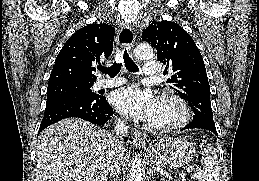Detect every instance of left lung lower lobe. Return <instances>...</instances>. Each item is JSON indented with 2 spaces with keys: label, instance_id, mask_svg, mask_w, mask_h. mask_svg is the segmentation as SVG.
<instances>
[{
  "label": "left lung lower lobe",
  "instance_id": "left-lung-lower-lobe-1",
  "mask_svg": "<svg viewBox=\"0 0 259 181\" xmlns=\"http://www.w3.org/2000/svg\"><path fill=\"white\" fill-rule=\"evenodd\" d=\"M191 128L206 129V130H209V131H211V132H213L214 134L217 135V131H216V127L215 126H212V125H209V124H205V123H199V122L189 123L184 128H182V130L191 129Z\"/></svg>",
  "mask_w": 259,
  "mask_h": 181
}]
</instances>
